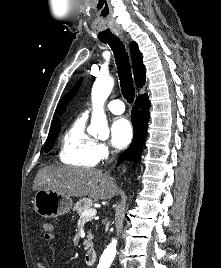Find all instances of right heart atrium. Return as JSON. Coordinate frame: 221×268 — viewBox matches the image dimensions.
<instances>
[{"mask_svg": "<svg viewBox=\"0 0 221 268\" xmlns=\"http://www.w3.org/2000/svg\"><path fill=\"white\" fill-rule=\"evenodd\" d=\"M96 149L99 160L107 158L110 154V150L105 143H97Z\"/></svg>", "mask_w": 221, "mask_h": 268, "instance_id": "d8ad5b80", "label": "right heart atrium"}]
</instances>
